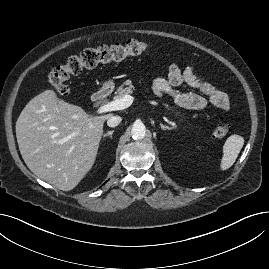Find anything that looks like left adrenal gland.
<instances>
[{
	"label": "left adrenal gland",
	"instance_id": "obj_1",
	"mask_svg": "<svg viewBox=\"0 0 269 269\" xmlns=\"http://www.w3.org/2000/svg\"><path fill=\"white\" fill-rule=\"evenodd\" d=\"M160 126H161L162 130H172V129H174V127L165 126L162 123H160Z\"/></svg>",
	"mask_w": 269,
	"mask_h": 269
}]
</instances>
